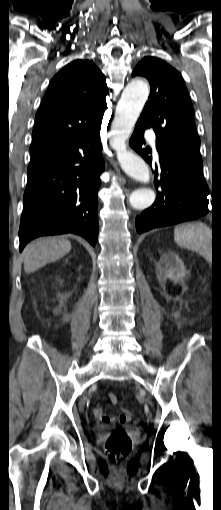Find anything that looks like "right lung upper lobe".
Segmentation results:
<instances>
[{"mask_svg": "<svg viewBox=\"0 0 221 510\" xmlns=\"http://www.w3.org/2000/svg\"><path fill=\"white\" fill-rule=\"evenodd\" d=\"M108 88L89 60H75L52 79L36 114L30 152L52 149L102 122Z\"/></svg>", "mask_w": 221, "mask_h": 510, "instance_id": "right-lung-upper-lobe-1", "label": "right lung upper lobe"}]
</instances>
